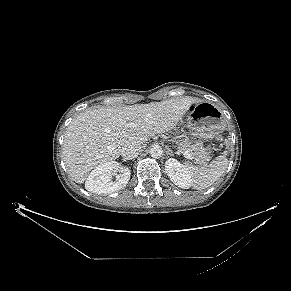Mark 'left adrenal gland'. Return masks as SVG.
<instances>
[{"mask_svg":"<svg viewBox=\"0 0 291 291\" xmlns=\"http://www.w3.org/2000/svg\"><path fill=\"white\" fill-rule=\"evenodd\" d=\"M167 156H173L174 154L172 153V150L169 148V147H167Z\"/></svg>","mask_w":291,"mask_h":291,"instance_id":"left-adrenal-gland-1","label":"left adrenal gland"}]
</instances>
